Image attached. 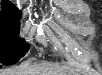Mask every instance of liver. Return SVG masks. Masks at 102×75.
Returning <instances> with one entry per match:
<instances>
[{
	"label": "liver",
	"instance_id": "6515ba94",
	"mask_svg": "<svg viewBox=\"0 0 102 75\" xmlns=\"http://www.w3.org/2000/svg\"><path fill=\"white\" fill-rule=\"evenodd\" d=\"M1 75H65V72L51 64H34L14 70H2Z\"/></svg>",
	"mask_w": 102,
	"mask_h": 75
}]
</instances>
